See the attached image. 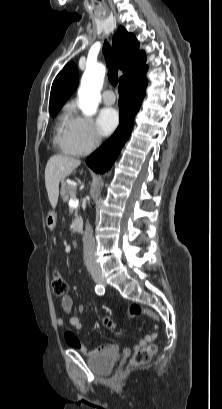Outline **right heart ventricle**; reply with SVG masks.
<instances>
[{"label": "right heart ventricle", "instance_id": "obj_1", "mask_svg": "<svg viewBox=\"0 0 222 409\" xmlns=\"http://www.w3.org/2000/svg\"><path fill=\"white\" fill-rule=\"evenodd\" d=\"M70 118L69 110H66L64 114L60 117L57 129H56V143L60 146L65 154L78 156L80 155L79 149L73 143L69 130L68 122Z\"/></svg>", "mask_w": 222, "mask_h": 409}]
</instances>
